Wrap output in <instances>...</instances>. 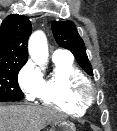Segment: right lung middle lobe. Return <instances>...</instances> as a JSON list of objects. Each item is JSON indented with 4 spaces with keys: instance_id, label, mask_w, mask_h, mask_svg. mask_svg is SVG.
Masks as SVG:
<instances>
[{
    "instance_id": "right-lung-middle-lobe-1",
    "label": "right lung middle lobe",
    "mask_w": 117,
    "mask_h": 131,
    "mask_svg": "<svg viewBox=\"0 0 117 131\" xmlns=\"http://www.w3.org/2000/svg\"><path fill=\"white\" fill-rule=\"evenodd\" d=\"M23 64L0 65V102L19 101L23 93L18 85L17 76Z\"/></svg>"
}]
</instances>
